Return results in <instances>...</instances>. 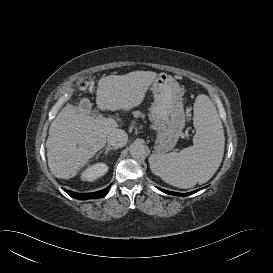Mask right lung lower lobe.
I'll return each instance as SVG.
<instances>
[{"label": "right lung lower lobe", "instance_id": "obj_1", "mask_svg": "<svg viewBox=\"0 0 273 273\" xmlns=\"http://www.w3.org/2000/svg\"><path fill=\"white\" fill-rule=\"evenodd\" d=\"M110 186L103 189L102 191L92 192V193H76L70 190L64 189V191L69 194L71 197L79 199V200H86V199H96L105 196L109 190Z\"/></svg>", "mask_w": 273, "mask_h": 273}]
</instances>
